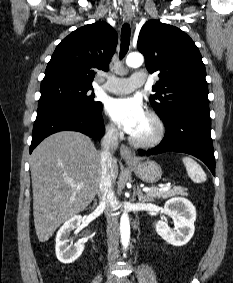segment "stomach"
<instances>
[{"label": "stomach", "instance_id": "1", "mask_svg": "<svg viewBox=\"0 0 233 283\" xmlns=\"http://www.w3.org/2000/svg\"><path fill=\"white\" fill-rule=\"evenodd\" d=\"M138 178L144 182L155 183L162 176L161 167L154 161L139 162L130 165Z\"/></svg>", "mask_w": 233, "mask_h": 283}]
</instances>
